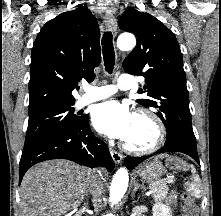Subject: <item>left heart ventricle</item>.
<instances>
[{"label": "left heart ventricle", "mask_w": 221, "mask_h": 216, "mask_svg": "<svg viewBox=\"0 0 221 216\" xmlns=\"http://www.w3.org/2000/svg\"><path fill=\"white\" fill-rule=\"evenodd\" d=\"M155 134V127L148 119L134 116L132 127L125 140L131 145L143 147L154 141Z\"/></svg>", "instance_id": "obj_1"}]
</instances>
